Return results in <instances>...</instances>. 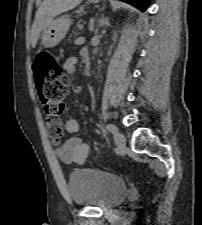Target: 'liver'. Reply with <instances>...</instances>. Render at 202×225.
<instances>
[{
    "mask_svg": "<svg viewBox=\"0 0 202 225\" xmlns=\"http://www.w3.org/2000/svg\"><path fill=\"white\" fill-rule=\"evenodd\" d=\"M82 0H44L38 8L32 26L31 43L35 47L41 31L56 16L77 7Z\"/></svg>",
    "mask_w": 202,
    "mask_h": 225,
    "instance_id": "obj_1",
    "label": "liver"
}]
</instances>
